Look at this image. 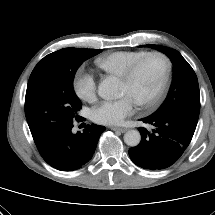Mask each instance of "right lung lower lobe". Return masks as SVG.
<instances>
[{"instance_id": "obj_1", "label": "right lung lower lobe", "mask_w": 215, "mask_h": 215, "mask_svg": "<svg viewBox=\"0 0 215 215\" xmlns=\"http://www.w3.org/2000/svg\"><path fill=\"white\" fill-rule=\"evenodd\" d=\"M73 123L51 134L36 146L43 159L61 171H73L87 163L96 149L104 126L87 125L83 133H72Z\"/></svg>"}]
</instances>
